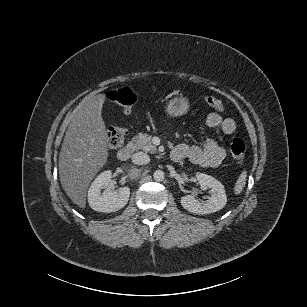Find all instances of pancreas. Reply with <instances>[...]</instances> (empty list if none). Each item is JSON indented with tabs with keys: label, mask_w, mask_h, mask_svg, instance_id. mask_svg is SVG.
Returning a JSON list of instances; mask_svg holds the SVG:
<instances>
[{
	"label": "pancreas",
	"mask_w": 307,
	"mask_h": 307,
	"mask_svg": "<svg viewBox=\"0 0 307 307\" xmlns=\"http://www.w3.org/2000/svg\"><path fill=\"white\" fill-rule=\"evenodd\" d=\"M133 141L135 142L137 149L144 153H156L157 148L152 144L151 138L148 134L138 133L134 136Z\"/></svg>",
	"instance_id": "obj_1"
}]
</instances>
